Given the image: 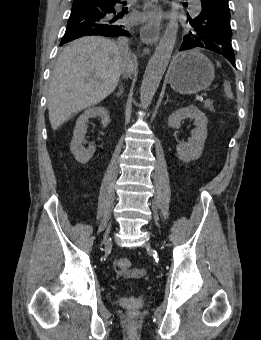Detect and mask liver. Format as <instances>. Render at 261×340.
Wrapping results in <instances>:
<instances>
[{"label":"liver","instance_id":"obj_1","mask_svg":"<svg viewBox=\"0 0 261 340\" xmlns=\"http://www.w3.org/2000/svg\"><path fill=\"white\" fill-rule=\"evenodd\" d=\"M127 69L133 70V62L115 42L99 36L73 41L63 50L51 74L47 103L52 129L105 99Z\"/></svg>","mask_w":261,"mask_h":340}]
</instances>
